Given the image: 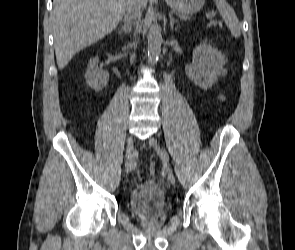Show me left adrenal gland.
Wrapping results in <instances>:
<instances>
[{"mask_svg":"<svg viewBox=\"0 0 295 250\" xmlns=\"http://www.w3.org/2000/svg\"><path fill=\"white\" fill-rule=\"evenodd\" d=\"M169 19H170V27L173 28L176 20L173 18V16L170 13H169Z\"/></svg>","mask_w":295,"mask_h":250,"instance_id":"a2214340","label":"left adrenal gland"}]
</instances>
